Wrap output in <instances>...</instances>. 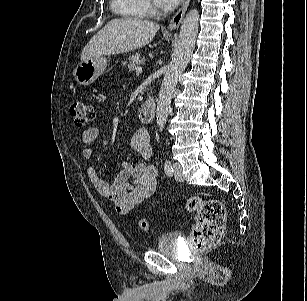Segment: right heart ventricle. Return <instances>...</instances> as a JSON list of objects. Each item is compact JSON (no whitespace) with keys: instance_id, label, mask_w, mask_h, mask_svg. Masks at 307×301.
<instances>
[{"instance_id":"right-heart-ventricle-1","label":"right heart ventricle","mask_w":307,"mask_h":301,"mask_svg":"<svg viewBox=\"0 0 307 301\" xmlns=\"http://www.w3.org/2000/svg\"><path fill=\"white\" fill-rule=\"evenodd\" d=\"M113 11L123 17L144 19L148 15L146 0H111Z\"/></svg>"}]
</instances>
